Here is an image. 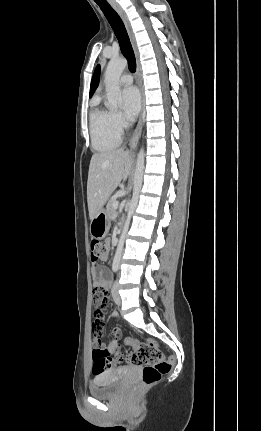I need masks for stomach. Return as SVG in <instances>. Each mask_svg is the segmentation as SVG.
I'll list each match as a JSON object with an SVG mask.
<instances>
[{"label": "stomach", "instance_id": "0dacf381", "mask_svg": "<svg viewBox=\"0 0 261 431\" xmlns=\"http://www.w3.org/2000/svg\"><path fill=\"white\" fill-rule=\"evenodd\" d=\"M110 229V219L104 208H101L90 223V234L93 238L103 239Z\"/></svg>", "mask_w": 261, "mask_h": 431}]
</instances>
